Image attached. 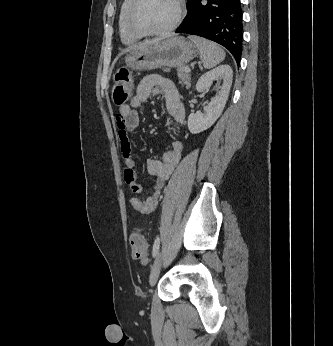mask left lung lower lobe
Segmentation results:
<instances>
[{"mask_svg": "<svg viewBox=\"0 0 333 346\" xmlns=\"http://www.w3.org/2000/svg\"><path fill=\"white\" fill-rule=\"evenodd\" d=\"M189 0L187 16L176 33L198 35L227 48L237 63L242 54L243 24L240 0Z\"/></svg>", "mask_w": 333, "mask_h": 346, "instance_id": "0a47b994", "label": "left lung lower lobe"}]
</instances>
